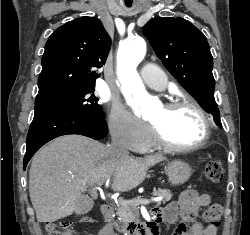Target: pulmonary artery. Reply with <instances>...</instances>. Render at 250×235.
Returning a JSON list of instances; mask_svg holds the SVG:
<instances>
[{
  "label": "pulmonary artery",
  "mask_w": 250,
  "mask_h": 235,
  "mask_svg": "<svg viewBox=\"0 0 250 235\" xmlns=\"http://www.w3.org/2000/svg\"><path fill=\"white\" fill-rule=\"evenodd\" d=\"M144 82L156 91H163L167 88L166 75L156 67L147 66L144 69Z\"/></svg>",
  "instance_id": "obj_1"
}]
</instances>
